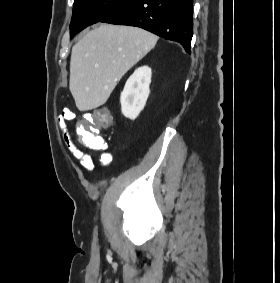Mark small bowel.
Segmentation results:
<instances>
[{"label": "small bowel", "instance_id": "obj_1", "mask_svg": "<svg viewBox=\"0 0 280 283\" xmlns=\"http://www.w3.org/2000/svg\"><path fill=\"white\" fill-rule=\"evenodd\" d=\"M73 118V112H63L58 118V124L60 129L63 131V139L70 153L79 160L82 169L87 172H91L95 167L94 159L77 147L68 129V122ZM103 149H105V146ZM111 160V154L106 151H103L99 156V163L102 167L109 165Z\"/></svg>", "mask_w": 280, "mask_h": 283}]
</instances>
